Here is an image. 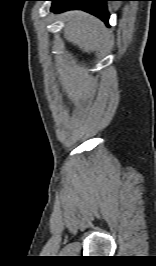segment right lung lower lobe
Returning <instances> with one entry per match:
<instances>
[{"mask_svg":"<svg viewBox=\"0 0 156 266\" xmlns=\"http://www.w3.org/2000/svg\"><path fill=\"white\" fill-rule=\"evenodd\" d=\"M52 1V10L62 12L71 9H81L89 12L108 23L109 14L106 2L109 0H48Z\"/></svg>","mask_w":156,"mask_h":266,"instance_id":"obj_1","label":"right lung lower lobe"}]
</instances>
